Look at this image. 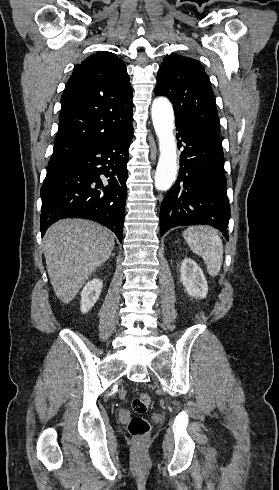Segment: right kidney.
Wrapping results in <instances>:
<instances>
[{
    "label": "right kidney",
    "mask_w": 279,
    "mask_h": 490,
    "mask_svg": "<svg viewBox=\"0 0 279 490\" xmlns=\"http://www.w3.org/2000/svg\"><path fill=\"white\" fill-rule=\"evenodd\" d=\"M102 288L103 282L102 280H98V278H93V280L85 284L81 292L80 302V310L83 314H86V312H89L95 306L97 300H99Z\"/></svg>",
    "instance_id": "1"
}]
</instances>
